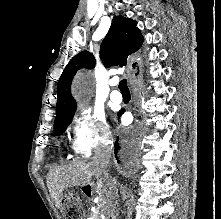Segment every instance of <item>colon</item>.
Wrapping results in <instances>:
<instances>
[{
  "instance_id": "colon-1",
  "label": "colon",
  "mask_w": 221,
  "mask_h": 219,
  "mask_svg": "<svg viewBox=\"0 0 221 219\" xmlns=\"http://www.w3.org/2000/svg\"><path fill=\"white\" fill-rule=\"evenodd\" d=\"M64 206L68 219H79L81 217V207L75 195H66L64 197Z\"/></svg>"
}]
</instances>
